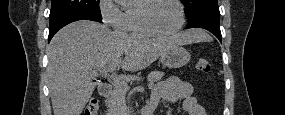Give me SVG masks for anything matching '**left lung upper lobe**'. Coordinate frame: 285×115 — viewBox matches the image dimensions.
Returning a JSON list of instances; mask_svg holds the SVG:
<instances>
[{
    "label": "left lung upper lobe",
    "instance_id": "1",
    "mask_svg": "<svg viewBox=\"0 0 285 115\" xmlns=\"http://www.w3.org/2000/svg\"><path fill=\"white\" fill-rule=\"evenodd\" d=\"M181 2L185 6V14L187 18L202 7L217 5V0H181Z\"/></svg>",
    "mask_w": 285,
    "mask_h": 115
}]
</instances>
